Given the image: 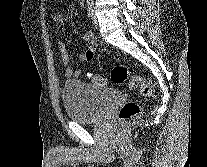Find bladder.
Masks as SVG:
<instances>
[{"label": "bladder", "instance_id": "1", "mask_svg": "<svg viewBox=\"0 0 207 167\" xmlns=\"http://www.w3.org/2000/svg\"><path fill=\"white\" fill-rule=\"evenodd\" d=\"M118 97L115 89L92 86L80 80L66 81L61 92L68 117L78 123L98 121Z\"/></svg>", "mask_w": 207, "mask_h": 167}]
</instances>
